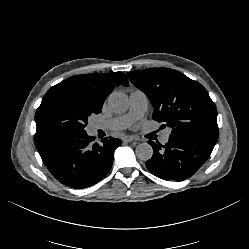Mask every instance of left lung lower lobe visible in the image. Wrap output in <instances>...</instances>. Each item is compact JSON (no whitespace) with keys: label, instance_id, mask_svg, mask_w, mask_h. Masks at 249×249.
<instances>
[{"label":"left lung lower lobe","instance_id":"obj_1","mask_svg":"<svg viewBox=\"0 0 249 249\" xmlns=\"http://www.w3.org/2000/svg\"><path fill=\"white\" fill-rule=\"evenodd\" d=\"M153 156L147 169L164 180L182 181L191 177L209 158L216 142L185 134H171L165 145L148 141Z\"/></svg>","mask_w":249,"mask_h":249}]
</instances>
